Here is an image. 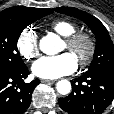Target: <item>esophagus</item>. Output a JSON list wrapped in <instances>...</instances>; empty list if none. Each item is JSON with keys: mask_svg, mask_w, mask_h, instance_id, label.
Here are the masks:
<instances>
[{"mask_svg": "<svg viewBox=\"0 0 114 114\" xmlns=\"http://www.w3.org/2000/svg\"><path fill=\"white\" fill-rule=\"evenodd\" d=\"M41 82H42V83L51 84V83H54L55 80H46V79H42Z\"/></svg>", "mask_w": 114, "mask_h": 114, "instance_id": "esophagus-1", "label": "esophagus"}]
</instances>
